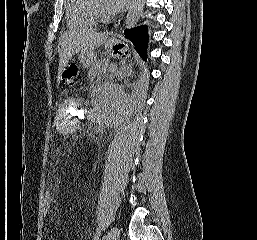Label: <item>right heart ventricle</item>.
Instances as JSON below:
<instances>
[{"label": "right heart ventricle", "mask_w": 257, "mask_h": 240, "mask_svg": "<svg viewBox=\"0 0 257 240\" xmlns=\"http://www.w3.org/2000/svg\"><path fill=\"white\" fill-rule=\"evenodd\" d=\"M65 9L72 28H93L99 22V12L92 0H66Z\"/></svg>", "instance_id": "e07e8e85"}]
</instances>
